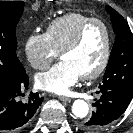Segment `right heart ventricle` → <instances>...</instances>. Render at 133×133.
Returning <instances> with one entry per match:
<instances>
[{"mask_svg": "<svg viewBox=\"0 0 133 133\" xmlns=\"http://www.w3.org/2000/svg\"><path fill=\"white\" fill-rule=\"evenodd\" d=\"M89 19H91V17L83 13H67L51 21L47 26L45 34L52 46L60 52L72 39L80 26Z\"/></svg>", "mask_w": 133, "mask_h": 133, "instance_id": "obj_1", "label": "right heart ventricle"}]
</instances>
